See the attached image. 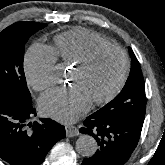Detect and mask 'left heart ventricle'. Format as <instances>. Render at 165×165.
Returning <instances> with one entry per match:
<instances>
[{
	"label": "left heart ventricle",
	"mask_w": 165,
	"mask_h": 165,
	"mask_svg": "<svg viewBox=\"0 0 165 165\" xmlns=\"http://www.w3.org/2000/svg\"><path fill=\"white\" fill-rule=\"evenodd\" d=\"M123 60L120 53L114 50L100 52L83 69H74L71 74V85L80 88L90 101L108 94L115 86L121 74Z\"/></svg>",
	"instance_id": "b2bd125f"
}]
</instances>
